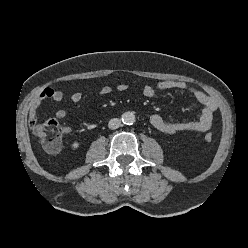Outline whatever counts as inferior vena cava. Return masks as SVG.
<instances>
[{
  "instance_id": "inferior-vena-cava-1",
  "label": "inferior vena cava",
  "mask_w": 248,
  "mask_h": 248,
  "mask_svg": "<svg viewBox=\"0 0 248 248\" xmlns=\"http://www.w3.org/2000/svg\"><path fill=\"white\" fill-rule=\"evenodd\" d=\"M120 126H121V120L119 118H113L108 123V127L112 130L117 129Z\"/></svg>"
}]
</instances>
